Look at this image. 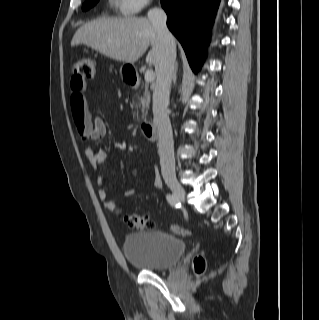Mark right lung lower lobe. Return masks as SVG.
<instances>
[{"label":"right lung lower lobe","mask_w":319,"mask_h":320,"mask_svg":"<svg viewBox=\"0 0 319 320\" xmlns=\"http://www.w3.org/2000/svg\"><path fill=\"white\" fill-rule=\"evenodd\" d=\"M220 0H161L167 26L181 42L191 68L202 65Z\"/></svg>","instance_id":"98d812e1"}]
</instances>
